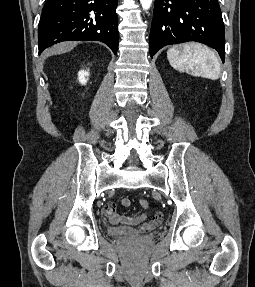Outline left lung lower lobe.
Masks as SVG:
<instances>
[{
    "mask_svg": "<svg viewBox=\"0 0 255 287\" xmlns=\"http://www.w3.org/2000/svg\"><path fill=\"white\" fill-rule=\"evenodd\" d=\"M149 53L187 41L215 48L224 62L225 31L217 0H155Z\"/></svg>",
    "mask_w": 255,
    "mask_h": 287,
    "instance_id": "1",
    "label": "left lung lower lobe"
}]
</instances>
